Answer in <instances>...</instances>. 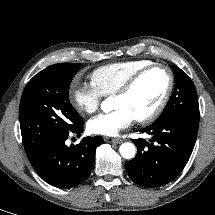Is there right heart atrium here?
Masks as SVG:
<instances>
[{
    "label": "right heart atrium",
    "mask_w": 215,
    "mask_h": 215,
    "mask_svg": "<svg viewBox=\"0 0 215 215\" xmlns=\"http://www.w3.org/2000/svg\"><path fill=\"white\" fill-rule=\"evenodd\" d=\"M69 98L78 112L92 114L99 109L103 95L92 82L74 80Z\"/></svg>",
    "instance_id": "1"
}]
</instances>
